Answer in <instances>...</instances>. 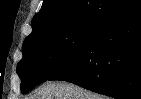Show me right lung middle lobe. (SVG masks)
<instances>
[{"mask_svg":"<svg viewBox=\"0 0 141 99\" xmlns=\"http://www.w3.org/2000/svg\"><path fill=\"white\" fill-rule=\"evenodd\" d=\"M100 21H82L25 41L17 65L21 92H26L59 72L89 42Z\"/></svg>","mask_w":141,"mask_h":99,"instance_id":"right-lung-middle-lobe-1","label":"right lung middle lobe"}]
</instances>
